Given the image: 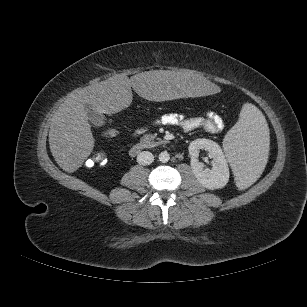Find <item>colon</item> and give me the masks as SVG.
Returning <instances> with one entry per match:
<instances>
[{
  "instance_id": "obj_1",
  "label": "colon",
  "mask_w": 307,
  "mask_h": 307,
  "mask_svg": "<svg viewBox=\"0 0 307 307\" xmlns=\"http://www.w3.org/2000/svg\"><path fill=\"white\" fill-rule=\"evenodd\" d=\"M119 134L118 130L112 127H107L104 130V135L108 138H115ZM107 156L102 151H95L91 153L86 159V166L89 168L101 167L107 164Z\"/></svg>"
}]
</instances>
